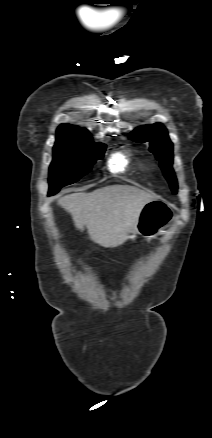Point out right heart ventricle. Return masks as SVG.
Segmentation results:
<instances>
[{
    "label": "right heart ventricle",
    "instance_id": "1",
    "mask_svg": "<svg viewBox=\"0 0 212 438\" xmlns=\"http://www.w3.org/2000/svg\"><path fill=\"white\" fill-rule=\"evenodd\" d=\"M128 162V158L125 155L116 154L111 160L110 168L115 172L122 171L128 165Z\"/></svg>",
    "mask_w": 212,
    "mask_h": 438
}]
</instances>
